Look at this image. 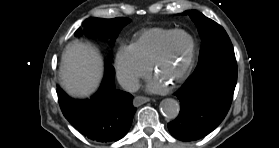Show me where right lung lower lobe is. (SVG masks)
<instances>
[{
  "label": "right lung lower lobe",
  "instance_id": "right-lung-lower-lobe-1",
  "mask_svg": "<svg viewBox=\"0 0 279 148\" xmlns=\"http://www.w3.org/2000/svg\"><path fill=\"white\" fill-rule=\"evenodd\" d=\"M102 85L90 100H74L58 87V100L65 118L84 136L97 142H113L123 138L133 120L136 108L133 96L116 90L114 67L105 62Z\"/></svg>",
  "mask_w": 279,
  "mask_h": 148
}]
</instances>
